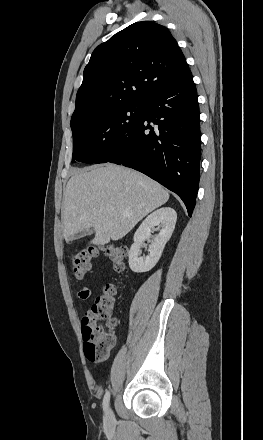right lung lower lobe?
Listing matches in <instances>:
<instances>
[{
  "label": "right lung lower lobe",
  "instance_id": "98d812e1",
  "mask_svg": "<svg viewBox=\"0 0 263 440\" xmlns=\"http://www.w3.org/2000/svg\"><path fill=\"white\" fill-rule=\"evenodd\" d=\"M136 129L108 151L100 163L138 170L175 192L189 216L200 178V113L190 72L148 95Z\"/></svg>",
  "mask_w": 263,
  "mask_h": 440
}]
</instances>
